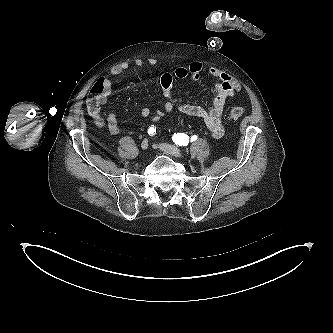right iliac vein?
<instances>
[{
	"mask_svg": "<svg viewBox=\"0 0 333 333\" xmlns=\"http://www.w3.org/2000/svg\"><path fill=\"white\" fill-rule=\"evenodd\" d=\"M141 148L143 150H146L148 148V140L147 139H144L141 143Z\"/></svg>",
	"mask_w": 333,
	"mask_h": 333,
	"instance_id": "right-iliac-vein-1",
	"label": "right iliac vein"
}]
</instances>
